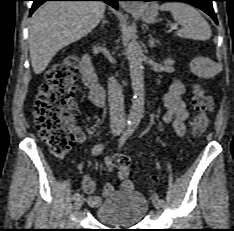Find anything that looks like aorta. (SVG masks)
I'll return each mask as SVG.
<instances>
[{
	"label": "aorta",
	"instance_id": "762f6f07",
	"mask_svg": "<svg viewBox=\"0 0 234 231\" xmlns=\"http://www.w3.org/2000/svg\"><path fill=\"white\" fill-rule=\"evenodd\" d=\"M127 58L131 84L133 89V101L128 121L132 124L140 122L144 113V73H143V51L140 44L132 39L127 46Z\"/></svg>",
	"mask_w": 234,
	"mask_h": 231
}]
</instances>
